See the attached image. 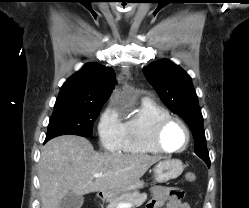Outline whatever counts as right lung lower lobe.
Returning a JSON list of instances; mask_svg holds the SVG:
<instances>
[{"label":"right lung lower lobe","mask_w":249,"mask_h":208,"mask_svg":"<svg viewBox=\"0 0 249 208\" xmlns=\"http://www.w3.org/2000/svg\"><path fill=\"white\" fill-rule=\"evenodd\" d=\"M48 140H50V139H47V138H46L44 143H46Z\"/></svg>","instance_id":"right-lung-lower-lobe-1"}]
</instances>
